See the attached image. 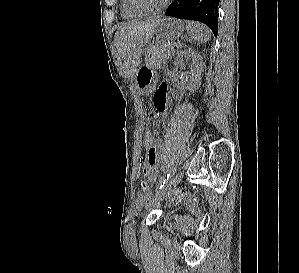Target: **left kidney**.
<instances>
[{
	"instance_id": "5707ae66",
	"label": "left kidney",
	"mask_w": 299,
	"mask_h": 273,
	"mask_svg": "<svg viewBox=\"0 0 299 273\" xmlns=\"http://www.w3.org/2000/svg\"><path fill=\"white\" fill-rule=\"evenodd\" d=\"M192 60L194 63V67L191 69L189 73V83L185 86L186 89L190 91H195L199 88L201 84V73L204 68V63L202 57L197 52L193 51L192 49H186L181 51L176 59H175V66L183 67V60ZM184 89V87L182 88Z\"/></svg>"
}]
</instances>
